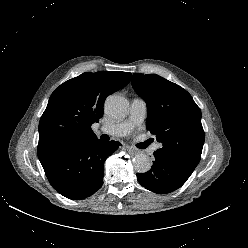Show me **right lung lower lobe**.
Here are the masks:
<instances>
[{"label": "right lung lower lobe", "mask_w": 248, "mask_h": 248, "mask_svg": "<svg viewBox=\"0 0 248 248\" xmlns=\"http://www.w3.org/2000/svg\"><path fill=\"white\" fill-rule=\"evenodd\" d=\"M121 144L96 136L75 139L41 162L52 187L61 195L81 200L103 184V166Z\"/></svg>", "instance_id": "98d812e1"}]
</instances>
